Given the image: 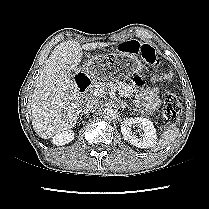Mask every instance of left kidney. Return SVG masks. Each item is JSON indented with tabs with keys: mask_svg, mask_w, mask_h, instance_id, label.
Masks as SVG:
<instances>
[{
	"mask_svg": "<svg viewBox=\"0 0 209 209\" xmlns=\"http://www.w3.org/2000/svg\"><path fill=\"white\" fill-rule=\"evenodd\" d=\"M136 125L142 130L138 138L131 127ZM121 132L126 141L139 148H149L156 144V130L152 121L144 117L126 118L121 122Z\"/></svg>",
	"mask_w": 209,
	"mask_h": 209,
	"instance_id": "5707ae66",
	"label": "left kidney"
}]
</instances>
